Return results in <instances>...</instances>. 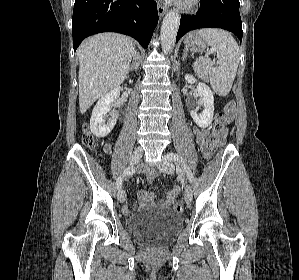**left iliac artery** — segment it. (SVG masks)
<instances>
[{"label": "left iliac artery", "instance_id": "obj_1", "mask_svg": "<svg viewBox=\"0 0 299 280\" xmlns=\"http://www.w3.org/2000/svg\"><path fill=\"white\" fill-rule=\"evenodd\" d=\"M167 158H168L169 160H171V161L178 162V163L181 164L182 166H183V164H184V161L182 160V158H181L178 154H176V153H169V154H167ZM184 170H185V172H186V176H187L188 180H189L190 182H193V180H194L193 174H192L191 170H189V169L187 168V166H185V164H184Z\"/></svg>", "mask_w": 299, "mask_h": 280}]
</instances>
